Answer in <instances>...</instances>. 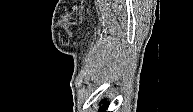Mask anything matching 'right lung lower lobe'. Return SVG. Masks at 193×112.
<instances>
[{
	"mask_svg": "<svg viewBox=\"0 0 193 112\" xmlns=\"http://www.w3.org/2000/svg\"><path fill=\"white\" fill-rule=\"evenodd\" d=\"M107 106H108V103H107V102H104L103 105H102L101 108H100V112H104L105 109L107 108Z\"/></svg>",
	"mask_w": 193,
	"mask_h": 112,
	"instance_id": "right-lung-lower-lobe-1",
	"label": "right lung lower lobe"
}]
</instances>
